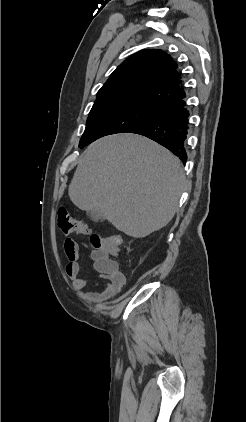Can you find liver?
<instances>
[{
  "label": "liver",
  "mask_w": 246,
  "mask_h": 422,
  "mask_svg": "<svg viewBox=\"0 0 246 422\" xmlns=\"http://www.w3.org/2000/svg\"><path fill=\"white\" fill-rule=\"evenodd\" d=\"M185 184L181 161L169 150L123 133L87 147L68 194L79 209L96 210L117 230L144 238L172 220Z\"/></svg>",
  "instance_id": "obj_1"
}]
</instances>
